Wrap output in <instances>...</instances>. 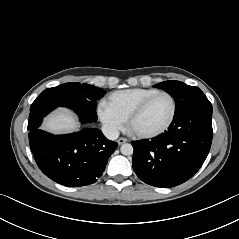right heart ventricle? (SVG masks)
Returning <instances> with one entry per match:
<instances>
[{
    "mask_svg": "<svg viewBox=\"0 0 239 239\" xmlns=\"http://www.w3.org/2000/svg\"><path fill=\"white\" fill-rule=\"evenodd\" d=\"M157 91V89L153 88H131L118 90L110 93L106 97L104 104L114 113L126 120L130 112L137 106V104Z\"/></svg>",
    "mask_w": 239,
    "mask_h": 239,
    "instance_id": "e07e8e85",
    "label": "right heart ventricle"
}]
</instances>
